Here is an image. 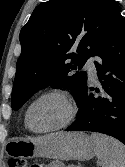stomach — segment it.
I'll list each match as a JSON object with an SVG mask.
<instances>
[{
	"mask_svg": "<svg viewBox=\"0 0 125 167\" xmlns=\"http://www.w3.org/2000/svg\"><path fill=\"white\" fill-rule=\"evenodd\" d=\"M13 153L22 158L89 160L96 154L94 140L84 132H58L36 138L13 140Z\"/></svg>",
	"mask_w": 125,
	"mask_h": 167,
	"instance_id": "0dacf381",
	"label": "stomach"
}]
</instances>
